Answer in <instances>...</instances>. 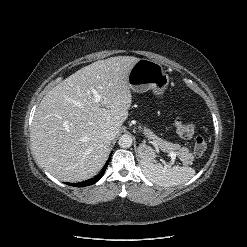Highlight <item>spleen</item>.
Returning a JSON list of instances; mask_svg holds the SVG:
<instances>
[{
    "label": "spleen",
    "instance_id": "3e777b00",
    "mask_svg": "<svg viewBox=\"0 0 247 247\" xmlns=\"http://www.w3.org/2000/svg\"><path fill=\"white\" fill-rule=\"evenodd\" d=\"M142 168L147 178L164 187L181 185L195 175V170L192 167L173 166L167 168L147 159L142 161Z\"/></svg>",
    "mask_w": 247,
    "mask_h": 247
}]
</instances>
